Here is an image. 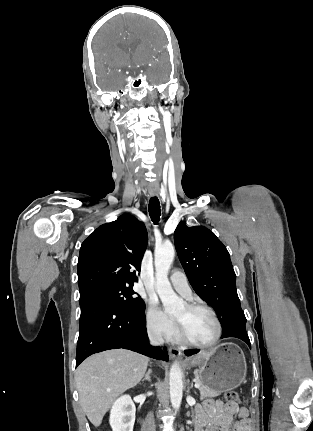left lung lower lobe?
I'll use <instances>...</instances> for the list:
<instances>
[{"label": "left lung lower lobe", "mask_w": 313, "mask_h": 431, "mask_svg": "<svg viewBox=\"0 0 313 431\" xmlns=\"http://www.w3.org/2000/svg\"><path fill=\"white\" fill-rule=\"evenodd\" d=\"M226 337H235V338L241 339L251 348L250 340H249V337H248V334L246 332L245 327H235V328H232V329L224 332L222 334V338H226ZM198 352H199V350H197V349L184 351V353L187 356H191V355L196 354Z\"/></svg>", "instance_id": "obj_1"}]
</instances>
